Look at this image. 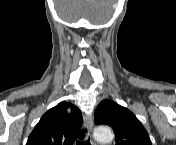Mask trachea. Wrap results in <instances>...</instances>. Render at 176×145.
I'll use <instances>...</instances> for the list:
<instances>
[{"label":"trachea","instance_id":"trachea-1","mask_svg":"<svg viewBox=\"0 0 176 145\" xmlns=\"http://www.w3.org/2000/svg\"><path fill=\"white\" fill-rule=\"evenodd\" d=\"M76 145H91L90 144V141L87 140V141H76Z\"/></svg>","mask_w":176,"mask_h":145}]
</instances>
